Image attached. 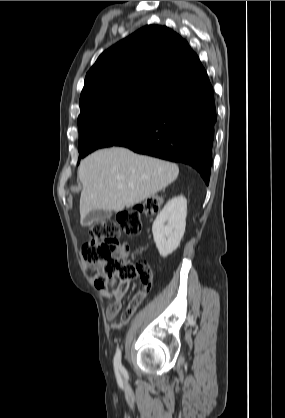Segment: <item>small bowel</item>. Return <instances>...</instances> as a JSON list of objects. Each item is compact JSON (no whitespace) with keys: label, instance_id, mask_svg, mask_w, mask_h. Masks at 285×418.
I'll list each match as a JSON object with an SVG mask.
<instances>
[{"label":"small bowel","instance_id":"obj_1","mask_svg":"<svg viewBox=\"0 0 285 418\" xmlns=\"http://www.w3.org/2000/svg\"><path fill=\"white\" fill-rule=\"evenodd\" d=\"M138 265L141 284H145L150 288L153 281L150 265L145 261H139ZM87 268L91 270L95 275H97L100 271L101 266L88 265ZM93 280V277H91V281ZM128 284L129 279H121L117 285H112L111 287H108L106 290H103L105 297L111 300L110 308L105 313V317L107 320L112 321L118 316L119 313H121L123 307V298L127 290ZM140 304L141 303H135L132 299L126 310L122 313L121 321L116 325H112V329L118 330L123 325H125L133 316L134 312Z\"/></svg>","mask_w":285,"mask_h":418}]
</instances>
